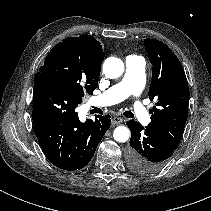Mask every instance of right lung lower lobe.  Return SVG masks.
Masks as SVG:
<instances>
[{
	"instance_id": "98d812e1",
	"label": "right lung lower lobe",
	"mask_w": 211,
	"mask_h": 211,
	"mask_svg": "<svg viewBox=\"0 0 211 211\" xmlns=\"http://www.w3.org/2000/svg\"><path fill=\"white\" fill-rule=\"evenodd\" d=\"M81 102L73 90L35 77L32 119L37 139L46 157L60 169L84 168L110 127V115L80 122L75 109Z\"/></svg>"
}]
</instances>
